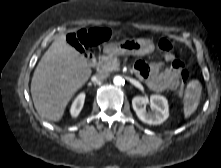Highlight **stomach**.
I'll return each mask as SVG.
<instances>
[{"mask_svg":"<svg viewBox=\"0 0 221 168\" xmlns=\"http://www.w3.org/2000/svg\"><path fill=\"white\" fill-rule=\"evenodd\" d=\"M155 49L153 41L149 39H124L120 42L109 43L104 52L110 55H146Z\"/></svg>","mask_w":221,"mask_h":168,"instance_id":"stomach-1","label":"stomach"}]
</instances>
